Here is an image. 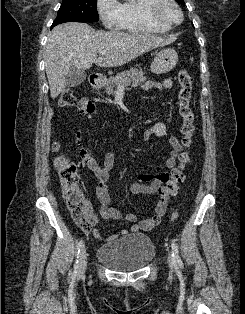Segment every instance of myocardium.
Masks as SVG:
<instances>
[{
    "label": "myocardium",
    "instance_id": "obj_1",
    "mask_svg": "<svg viewBox=\"0 0 245 314\" xmlns=\"http://www.w3.org/2000/svg\"><path fill=\"white\" fill-rule=\"evenodd\" d=\"M166 5L173 6L180 15V20L178 22H174L170 20L165 14H164V8ZM146 12L153 21L166 25L168 27L179 25L183 21V12L179 4L176 2V0H152V2L147 5Z\"/></svg>",
    "mask_w": 245,
    "mask_h": 314
}]
</instances>
